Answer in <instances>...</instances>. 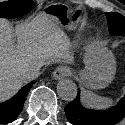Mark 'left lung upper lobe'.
Returning a JSON list of instances; mask_svg holds the SVG:
<instances>
[{"label": "left lung upper lobe", "instance_id": "1", "mask_svg": "<svg viewBox=\"0 0 125 125\" xmlns=\"http://www.w3.org/2000/svg\"><path fill=\"white\" fill-rule=\"evenodd\" d=\"M110 34L125 36V17L116 12L106 13Z\"/></svg>", "mask_w": 125, "mask_h": 125}]
</instances>
